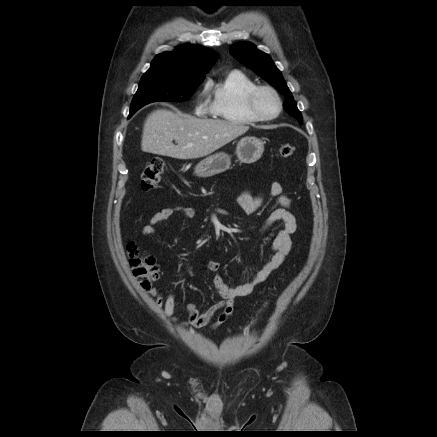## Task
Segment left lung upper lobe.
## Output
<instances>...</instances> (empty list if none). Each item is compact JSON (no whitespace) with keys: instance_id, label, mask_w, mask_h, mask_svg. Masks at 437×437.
<instances>
[{"instance_id":"left-lung-upper-lobe-1","label":"left lung upper lobe","mask_w":437,"mask_h":437,"mask_svg":"<svg viewBox=\"0 0 437 437\" xmlns=\"http://www.w3.org/2000/svg\"><path fill=\"white\" fill-rule=\"evenodd\" d=\"M230 52L237 60L251 68L255 73L283 94L286 97V101L283 105L285 111L298 119L300 124H302V115L297 108V104L293 99L281 72L275 66L270 56L257 50L250 42H242L232 45L230 47Z\"/></svg>"}]
</instances>
